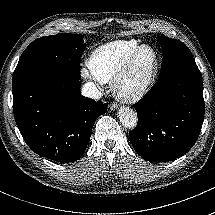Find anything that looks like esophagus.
Segmentation results:
<instances>
[{
	"instance_id": "obj_1",
	"label": "esophagus",
	"mask_w": 215,
	"mask_h": 215,
	"mask_svg": "<svg viewBox=\"0 0 215 215\" xmlns=\"http://www.w3.org/2000/svg\"><path fill=\"white\" fill-rule=\"evenodd\" d=\"M117 104H110L109 105V108L111 109V110H116L117 109Z\"/></svg>"
}]
</instances>
